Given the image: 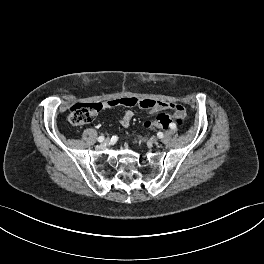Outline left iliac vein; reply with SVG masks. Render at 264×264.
Instances as JSON below:
<instances>
[{"label": "left iliac vein", "instance_id": "1", "mask_svg": "<svg viewBox=\"0 0 264 264\" xmlns=\"http://www.w3.org/2000/svg\"><path fill=\"white\" fill-rule=\"evenodd\" d=\"M152 142L155 143L156 145H158L160 142L156 139H152Z\"/></svg>", "mask_w": 264, "mask_h": 264}]
</instances>
